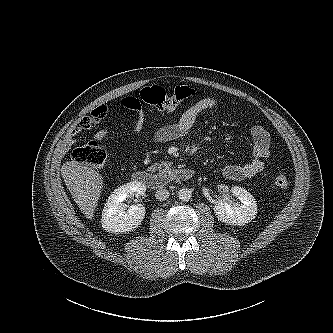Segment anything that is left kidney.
<instances>
[{
  "mask_svg": "<svg viewBox=\"0 0 333 333\" xmlns=\"http://www.w3.org/2000/svg\"><path fill=\"white\" fill-rule=\"evenodd\" d=\"M233 195L241 203H229L219 200L214 206V212L218 220L229 225H245L251 222L257 213L255 198L245 189L234 186L231 189Z\"/></svg>",
  "mask_w": 333,
  "mask_h": 333,
  "instance_id": "left-kidney-1",
  "label": "left kidney"
}]
</instances>
